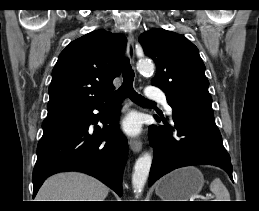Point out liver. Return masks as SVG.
I'll return each instance as SVG.
<instances>
[{
	"label": "liver",
	"instance_id": "1",
	"mask_svg": "<svg viewBox=\"0 0 259 211\" xmlns=\"http://www.w3.org/2000/svg\"><path fill=\"white\" fill-rule=\"evenodd\" d=\"M108 192L109 188L94 177L67 172L49 177L36 201H104Z\"/></svg>",
	"mask_w": 259,
	"mask_h": 211
}]
</instances>
